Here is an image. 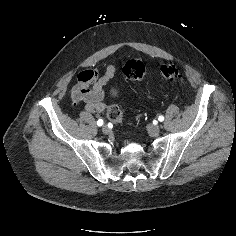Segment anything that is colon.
<instances>
[{
    "instance_id": "5ec220e1",
    "label": "colon",
    "mask_w": 236,
    "mask_h": 236,
    "mask_svg": "<svg viewBox=\"0 0 236 236\" xmlns=\"http://www.w3.org/2000/svg\"><path fill=\"white\" fill-rule=\"evenodd\" d=\"M124 75L134 81H140L145 77V66L140 60H130L123 68ZM162 78L169 83H178L182 79L179 69L173 64H165L160 67ZM107 118L112 123H119L122 112L118 105H111L107 110Z\"/></svg>"
}]
</instances>
